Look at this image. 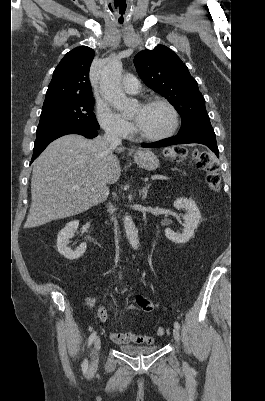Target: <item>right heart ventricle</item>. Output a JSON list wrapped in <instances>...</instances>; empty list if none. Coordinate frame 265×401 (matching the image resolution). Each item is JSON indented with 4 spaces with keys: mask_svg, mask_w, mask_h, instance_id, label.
<instances>
[{
    "mask_svg": "<svg viewBox=\"0 0 265 401\" xmlns=\"http://www.w3.org/2000/svg\"><path fill=\"white\" fill-rule=\"evenodd\" d=\"M117 140H120V139H122V138H116Z\"/></svg>",
    "mask_w": 265,
    "mask_h": 401,
    "instance_id": "e07e8e85",
    "label": "right heart ventricle"
}]
</instances>
